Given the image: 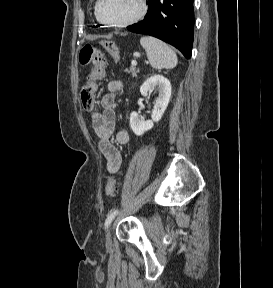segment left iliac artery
<instances>
[{
	"mask_svg": "<svg viewBox=\"0 0 273 288\" xmlns=\"http://www.w3.org/2000/svg\"><path fill=\"white\" fill-rule=\"evenodd\" d=\"M119 210H114L112 213H110L106 220H105V229L108 228V226L111 224L112 220L115 218V216L118 214Z\"/></svg>",
	"mask_w": 273,
	"mask_h": 288,
	"instance_id": "1",
	"label": "left iliac artery"
}]
</instances>
